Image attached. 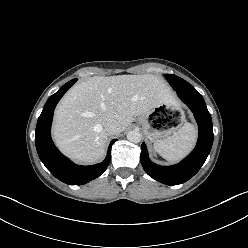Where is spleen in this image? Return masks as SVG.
<instances>
[{
	"label": "spleen",
	"mask_w": 248,
	"mask_h": 248,
	"mask_svg": "<svg viewBox=\"0 0 248 248\" xmlns=\"http://www.w3.org/2000/svg\"><path fill=\"white\" fill-rule=\"evenodd\" d=\"M196 139V128L190 123H185L171 137L156 141L154 149L167 161L177 162L193 149Z\"/></svg>",
	"instance_id": "1"
}]
</instances>
